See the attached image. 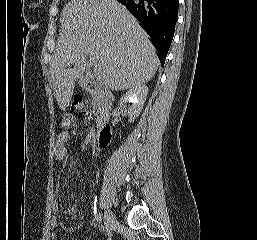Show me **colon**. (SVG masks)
<instances>
[{"label":"colon","mask_w":257,"mask_h":240,"mask_svg":"<svg viewBox=\"0 0 257 240\" xmlns=\"http://www.w3.org/2000/svg\"><path fill=\"white\" fill-rule=\"evenodd\" d=\"M72 108L75 110H83L84 104L83 100L80 96H75L73 101H72ZM71 120V117L67 118V122Z\"/></svg>","instance_id":"colon-1"}]
</instances>
